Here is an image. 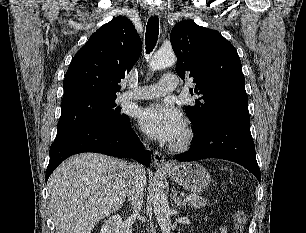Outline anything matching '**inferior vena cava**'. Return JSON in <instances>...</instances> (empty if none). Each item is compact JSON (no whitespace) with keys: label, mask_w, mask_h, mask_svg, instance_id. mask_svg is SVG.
I'll use <instances>...</instances> for the list:
<instances>
[{"label":"inferior vena cava","mask_w":306,"mask_h":233,"mask_svg":"<svg viewBox=\"0 0 306 233\" xmlns=\"http://www.w3.org/2000/svg\"><path fill=\"white\" fill-rule=\"evenodd\" d=\"M146 184L145 170L140 164L129 165V181L127 184V197L137 215L142 206L143 191Z\"/></svg>","instance_id":"obj_1"}]
</instances>
